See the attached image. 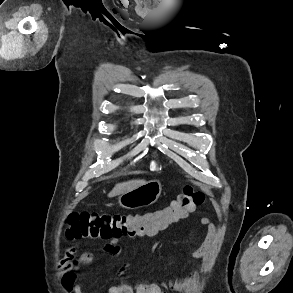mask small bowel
Masks as SVG:
<instances>
[{
	"label": "small bowel",
	"mask_w": 293,
	"mask_h": 293,
	"mask_svg": "<svg viewBox=\"0 0 293 293\" xmlns=\"http://www.w3.org/2000/svg\"><path fill=\"white\" fill-rule=\"evenodd\" d=\"M200 223L207 229V233L199 247L193 250V259L200 260L205 257L209 249L211 248L215 238L218 235V229L209 217H202ZM167 227V226H166ZM166 227L147 231L142 233H135L126 235L128 237H153L163 231ZM122 235L113 236L108 239V242L102 247V252L110 256H119L122 253V248L118 245ZM158 243H153L152 254L154 255L157 249ZM76 246L68 248L65 257L61 260L58 276L62 279L63 288L67 293H83V287L77 283V271L81 266L91 264L94 261V255L91 252H82L78 256H75ZM196 280V275H189L182 279H176L164 283L162 287L155 283H144L136 286L127 284L124 281H120L116 285L111 286L108 289V293H140V289L145 286H151L157 290L156 293H165L166 290L182 293L192 286Z\"/></svg>",
	"instance_id": "obj_1"
}]
</instances>
